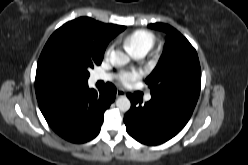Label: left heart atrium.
Masks as SVG:
<instances>
[{
    "label": "left heart atrium",
    "mask_w": 248,
    "mask_h": 165,
    "mask_svg": "<svg viewBox=\"0 0 248 165\" xmlns=\"http://www.w3.org/2000/svg\"><path fill=\"white\" fill-rule=\"evenodd\" d=\"M140 77H141V74L138 71H123L119 75V81L125 86H130L135 81H137Z\"/></svg>",
    "instance_id": "obj_1"
}]
</instances>
